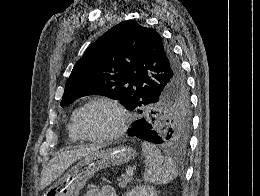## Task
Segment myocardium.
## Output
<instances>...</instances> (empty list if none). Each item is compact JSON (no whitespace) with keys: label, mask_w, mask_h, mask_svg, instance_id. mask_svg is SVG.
I'll return each instance as SVG.
<instances>
[{"label":"myocardium","mask_w":260,"mask_h":196,"mask_svg":"<svg viewBox=\"0 0 260 196\" xmlns=\"http://www.w3.org/2000/svg\"><path fill=\"white\" fill-rule=\"evenodd\" d=\"M97 102H103V103L109 104L112 107H114L120 116V124L114 131H112L110 133H107V134H104L101 136H91V135H87L83 131V129L80 125V116H81L82 112L88 106H90L93 103H97ZM129 124H130V118H129L126 108L117 99H115L111 96H107V95H98V96H94V97L90 98L88 101H86L83 105H81L78 108V110L75 113V117H74V125H75V128L77 129V131L79 132L81 138L83 140L95 142V143H103V142H107V141L120 137L121 135H123L126 132Z\"/></svg>","instance_id":"obj_1"}]
</instances>
